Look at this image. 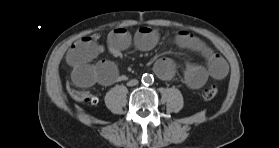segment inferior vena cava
Segmentation results:
<instances>
[{
    "mask_svg": "<svg viewBox=\"0 0 279 148\" xmlns=\"http://www.w3.org/2000/svg\"><path fill=\"white\" fill-rule=\"evenodd\" d=\"M137 84H138V80H136V79L130 80V81L127 83L128 86H135V85H137Z\"/></svg>",
    "mask_w": 279,
    "mask_h": 148,
    "instance_id": "602c4592",
    "label": "inferior vena cava"
}]
</instances>
